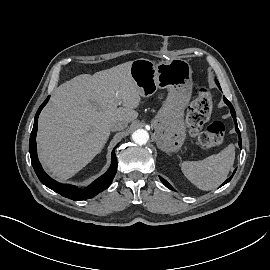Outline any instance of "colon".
Segmentation results:
<instances>
[{
    "instance_id": "colon-1",
    "label": "colon",
    "mask_w": 270,
    "mask_h": 270,
    "mask_svg": "<svg viewBox=\"0 0 270 270\" xmlns=\"http://www.w3.org/2000/svg\"><path fill=\"white\" fill-rule=\"evenodd\" d=\"M212 111V93L202 87L197 97L192 101L186 113V123L189 133L196 138L200 146L209 149L222 143L225 127L221 121L209 123L205 129L202 125L208 120Z\"/></svg>"
}]
</instances>
